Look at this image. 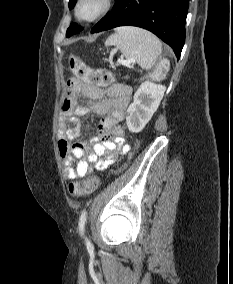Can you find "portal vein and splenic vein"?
Instances as JSON below:
<instances>
[{
    "instance_id": "18ae733b",
    "label": "portal vein and splenic vein",
    "mask_w": 233,
    "mask_h": 284,
    "mask_svg": "<svg viewBox=\"0 0 233 284\" xmlns=\"http://www.w3.org/2000/svg\"><path fill=\"white\" fill-rule=\"evenodd\" d=\"M119 62H120L121 64H123V65H128V64H129V62H126V61H124L123 59H120Z\"/></svg>"
}]
</instances>
